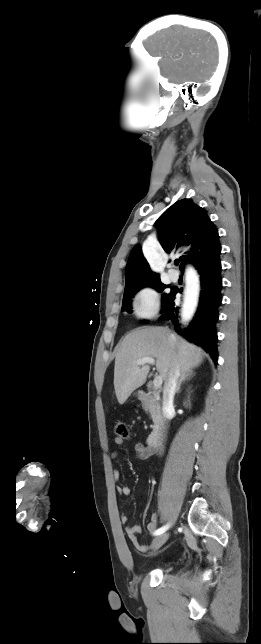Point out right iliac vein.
<instances>
[{"mask_svg":"<svg viewBox=\"0 0 261 644\" xmlns=\"http://www.w3.org/2000/svg\"><path fill=\"white\" fill-rule=\"evenodd\" d=\"M168 537H169L168 533L161 534L155 537L152 542L153 550H158L168 540Z\"/></svg>","mask_w":261,"mask_h":644,"instance_id":"obj_1","label":"right iliac vein"}]
</instances>
